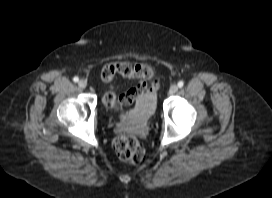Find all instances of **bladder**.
Instances as JSON below:
<instances>
[{"label": "bladder", "instance_id": "obj_1", "mask_svg": "<svg viewBox=\"0 0 272 198\" xmlns=\"http://www.w3.org/2000/svg\"><path fill=\"white\" fill-rule=\"evenodd\" d=\"M156 110L155 97H147L138 101L128 113L132 121L147 122Z\"/></svg>", "mask_w": 272, "mask_h": 198}]
</instances>
